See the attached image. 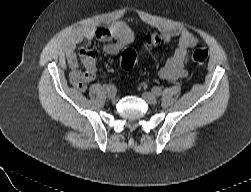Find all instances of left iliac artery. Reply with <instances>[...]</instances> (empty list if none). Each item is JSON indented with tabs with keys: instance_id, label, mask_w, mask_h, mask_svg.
Wrapping results in <instances>:
<instances>
[{
	"instance_id": "left-iliac-artery-1",
	"label": "left iliac artery",
	"mask_w": 251,
	"mask_h": 192,
	"mask_svg": "<svg viewBox=\"0 0 251 192\" xmlns=\"http://www.w3.org/2000/svg\"><path fill=\"white\" fill-rule=\"evenodd\" d=\"M152 92L156 95V96H160L162 94V89L160 87H153L152 88Z\"/></svg>"
}]
</instances>
